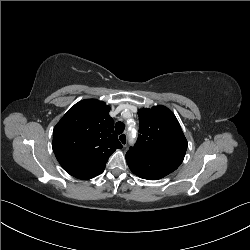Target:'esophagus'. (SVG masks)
Returning <instances> with one entry per match:
<instances>
[{
	"mask_svg": "<svg viewBox=\"0 0 250 250\" xmlns=\"http://www.w3.org/2000/svg\"><path fill=\"white\" fill-rule=\"evenodd\" d=\"M118 139L120 141V143L125 147L127 144V134L126 133H122L118 136Z\"/></svg>",
	"mask_w": 250,
	"mask_h": 250,
	"instance_id": "esophagus-1",
	"label": "esophagus"
}]
</instances>
